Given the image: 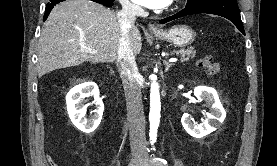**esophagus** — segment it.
<instances>
[{
  "label": "esophagus",
  "instance_id": "1",
  "mask_svg": "<svg viewBox=\"0 0 277 166\" xmlns=\"http://www.w3.org/2000/svg\"><path fill=\"white\" fill-rule=\"evenodd\" d=\"M148 29L152 32V33H157L159 31V29L153 25V24H149L148 25Z\"/></svg>",
  "mask_w": 277,
  "mask_h": 166
}]
</instances>
